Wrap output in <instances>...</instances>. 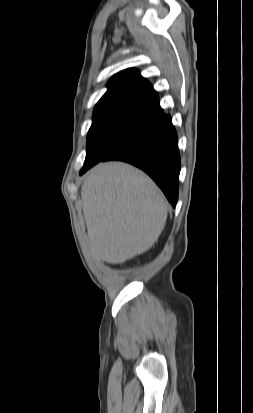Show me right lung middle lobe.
<instances>
[{
    "instance_id": "obj_1",
    "label": "right lung middle lobe",
    "mask_w": 253,
    "mask_h": 413,
    "mask_svg": "<svg viewBox=\"0 0 253 413\" xmlns=\"http://www.w3.org/2000/svg\"><path fill=\"white\" fill-rule=\"evenodd\" d=\"M162 120L126 110L93 114L87 135L86 159L81 171L91 168L121 146L147 133Z\"/></svg>"
}]
</instances>
